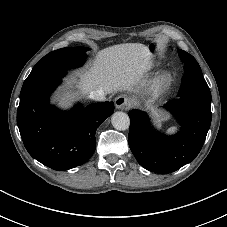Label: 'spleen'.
<instances>
[{"label": "spleen", "instance_id": "spleen-1", "mask_svg": "<svg viewBox=\"0 0 227 227\" xmlns=\"http://www.w3.org/2000/svg\"><path fill=\"white\" fill-rule=\"evenodd\" d=\"M176 130H177V127L173 126V127L168 128L167 132L169 134H174L176 132Z\"/></svg>", "mask_w": 227, "mask_h": 227}]
</instances>
